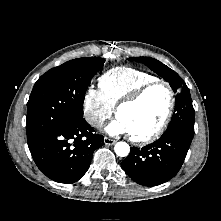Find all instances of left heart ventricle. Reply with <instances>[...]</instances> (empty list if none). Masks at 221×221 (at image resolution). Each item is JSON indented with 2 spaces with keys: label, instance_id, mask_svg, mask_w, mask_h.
Segmentation results:
<instances>
[{
  "label": "left heart ventricle",
  "instance_id": "obj_1",
  "mask_svg": "<svg viewBox=\"0 0 221 221\" xmlns=\"http://www.w3.org/2000/svg\"><path fill=\"white\" fill-rule=\"evenodd\" d=\"M169 105V94L165 86L149 89L135 104L122 108L118 114L131 135L142 137L150 134L164 119Z\"/></svg>",
  "mask_w": 221,
  "mask_h": 221
}]
</instances>
